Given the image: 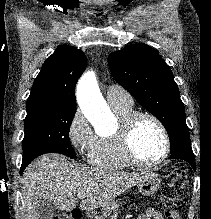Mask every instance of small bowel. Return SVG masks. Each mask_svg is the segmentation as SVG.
I'll return each instance as SVG.
<instances>
[{
    "instance_id": "small-bowel-1",
    "label": "small bowel",
    "mask_w": 211,
    "mask_h": 219,
    "mask_svg": "<svg viewBox=\"0 0 211 219\" xmlns=\"http://www.w3.org/2000/svg\"><path fill=\"white\" fill-rule=\"evenodd\" d=\"M138 219H178V214L175 211H170L162 214L160 211L149 208L138 216Z\"/></svg>"
}]
</instances>
